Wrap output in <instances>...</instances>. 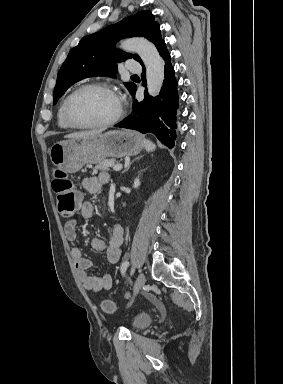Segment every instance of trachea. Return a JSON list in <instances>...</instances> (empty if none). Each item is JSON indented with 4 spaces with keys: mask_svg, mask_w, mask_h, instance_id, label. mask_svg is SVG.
<instances>
[{
    "mask_svg": "<svg viewBox=\"0 0 283 384\" xmlns=\"http://www.w3.org/2000/svg\"><path fill=\"white\" fill-rule=\"evenodd\" d=\"M132 77H137V75H132Z\"/></svg>",
    "mask_w": 283,
    "mask_h": 384,
    "instance_id": "3493384b",
    "label": "trachea"
}]
</instances>
